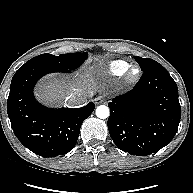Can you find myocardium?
<instances>
[{
	"label": "myocardium",
	"instance_id": "myocardium-1",
	"mask_svg": "<svg viewBox=\"0 0 193 193\" xmlns=\"http://www.w3.org/2000/svg\"><path fill=\"white\" fill-rule=\"evenodd\" d=\"M140 78V69L132 66L125 72V81L127 84H134Z\"/></svg>",
	"mask_w": 193,
	"mask_h": 193
}]
</instances>
